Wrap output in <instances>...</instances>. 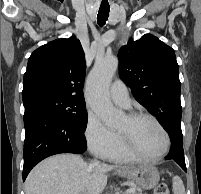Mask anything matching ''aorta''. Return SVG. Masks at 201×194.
I'll return each instance as SVG.
<instances>
[{
	"instance_id": "762f6f07",
	"label": "aorta",
	"mask_w": 201,
	"mask_h": 194,
	"mask_svg": "<svg viewBox=\"0 0 201 194\" xmlns=\"http://www.w3.org/2000/svg\"><path fill=\"white\" fill-rule=\"evenodd\" d=\"M118 64L115 56L97 59L87 78V101L94 113L110 128L117 127L124 115L113 107L109 99V86Z\"/></svg>"
}]
</instances>
